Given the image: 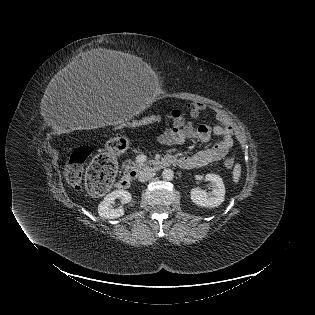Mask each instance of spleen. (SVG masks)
Here are the masks:
<instances>
[{"label": "spleen", "mask_w": 315, "mask_h": 315, "mask_svg": "<svg viewBox=\"0 0 315 315\" xmlns=\"http://www.w3.org/2000/svg\"><path fill=\"white\" fill-rule=\"evenodd\" d=\"M240 176H241V165L237 163L233 169V181L235 184L239 182Z\"/></svg>", "instance_id": "spleen-1"}]
</instances>
